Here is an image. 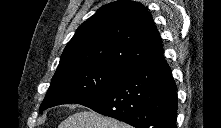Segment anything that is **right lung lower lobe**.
I'll list each match as a JSON object with an SVG mask.
<instances>
[{
    "label": "right lung lower lobe",
    "instance_id": "obj_1",
    "mask_svg": "<svg viewBox=\"0 0 221 128\" xmlns=\"http://www.w3.org/2000/svg\"><path fill=\"white\" fill-rule=\"evenodd\" d=\"M77 104L135 128H176L177 87L163 55L124 74Z\"/></svg>",
    "mask_w": 221,
    "mask_h": 128
}]
</instances>
